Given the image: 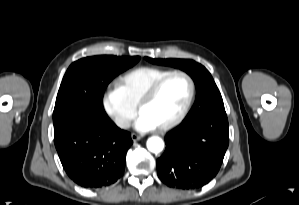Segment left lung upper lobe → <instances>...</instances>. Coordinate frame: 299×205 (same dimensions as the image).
Masks as SVG:
<instances>
[{
    "mask_svg": "<svg viewBox=\"0 0 299 205\" xmlns=\"http://www.w3.org/2000/svg\"><path fill=\"white\" fill-rule=\"evenodd\" d=\"M151 63L179 68L187 72L195 82L197 95L195 103L186 116L196 119L217 109H224L221 94L208 70L193 60L184 59H152L145 57Z\"/></svg>",
    "mask_w": 299,
    "mask_h": 205,
    "instance_id": "1",
    "label": "left lung upper lobe"
}]
</instances>
